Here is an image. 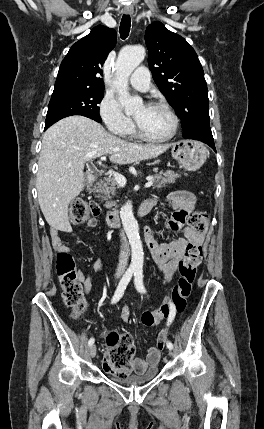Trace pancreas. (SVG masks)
Returning <instances> with one entry per match:
<instances>
[{
  "label": "pancreas",
  "mask_w": 264,
  "mask_h": 429,
  "mask_svg": "<svg viewBox=\"0 0 264 429\" xmlns=\"http://www.w3.org/2000/svg\"><path fill=\"white\" fill-rule=\"evenodd\" d=\"M180 177V174L174 173L171 170L166 172H159L152 175V181L154 187L161 188L167 184L175 183L177 178ZM116 182L114 177H105L98 182H96L93 188L89 189L90 192L98 193L97 197H101L103 200H106L105 207L111 208L112 202L110 201L111 194L116 190Z\"/></svg>",
  "instance_id": "cf45deb5"
}]
</instances>
